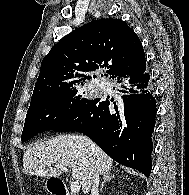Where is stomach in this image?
<instances>
[{
	"mask_svg": "<svg viewBox=\"0 0 189 195\" xmlns=\"http://www.w3.org/2000/svg\"><path fill=\"white\" fill-rule=\"evenodd\" d=\"M46 188L49 190L51 187H50V178L47 179L46 181Z\"/></svg>",
	"mask_w": 189,
	"mask_h": 195,
	"instance_id": "obj_1",
	"label": "stomach"
}]
</instances>
